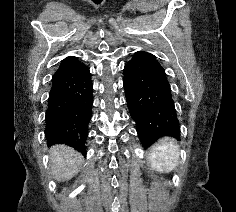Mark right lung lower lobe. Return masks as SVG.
<instances>
[{
	"instance_id": "98d812e1",
	"label": "right lung lower lobe",
	"mask_w": 236,
	"mask_h": 212,
	"mask_svg": "<svg viewBox=\"0 0 236 212\" xmlns=\"http://www.w3.org/2000/svg\"><path fill=\"white\" fill-rule=\"evenodd\" d=\"M92 89L86 65L74 56L61 61L51 80L45 116L48 144H66L85 154Z\"/></svg>"
}]
</instances>
